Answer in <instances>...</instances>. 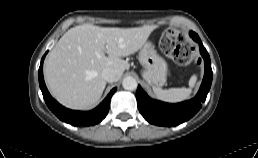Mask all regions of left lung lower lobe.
Returning <instances> with one entry per match:
<instances>
[{"mask_svg": "<svg viewBox=\"0 0 258 158\" xmlns=\"http://www.w3.org/2000/svg\"><path fill=\"white\" fill-rule=\"evenodd\" d=\"M190 37L200 44V53L205 62V74L197 95L185 102L168 104L152 100L140 86L137 88L136 99L138 109L142 116L151 124L158 126H176L193 117L202 107L212 83L211 61L208 52L204 48L199 36L191 31Z\"/></svg>", "mask_w": 258, "mask_h": 158, "instance_id": "left-lung-lower-lobe-1", "label": "left lung lower lobe"}]
</instances>
